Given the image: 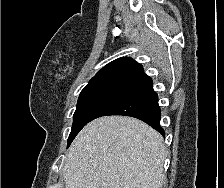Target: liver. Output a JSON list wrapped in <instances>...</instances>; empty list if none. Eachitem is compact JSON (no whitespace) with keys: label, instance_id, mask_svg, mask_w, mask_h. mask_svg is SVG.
Here are the masks:
<instances>
[{"label":"liver","instance_id":"6515ba94","mask_svg":"<svg viewBox=\"0 0 224 188\" xmlns=\"http://www.w3.org/2000/svg\"><path fill=\"white\" fill-rule=\"evenodd\" d=\"M163 137L146 123L106 116L88 123L66 155L65 188H161Z\"/></svg>","mask_w":224,"mask_h":188}]
</instances>
